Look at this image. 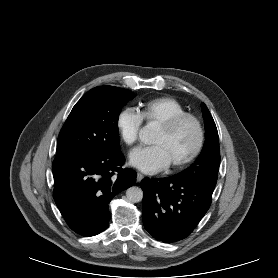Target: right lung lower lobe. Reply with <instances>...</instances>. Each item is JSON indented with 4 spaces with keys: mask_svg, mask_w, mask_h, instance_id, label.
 <instances>
[{
    "mask_svg": "<svg viewBox=\"0 0 278 278\" xmlns=\"http://www.w3.org/2000/svg\"><path fill=\"white\" fill-rule=\"evenodd\" d=\"M123 163L120 150L53 161V197L73 231L89 237L108 227V204L136 179L135 171L121 168Z\"/></svg>",
    "mask_w": 278,
    "mask_h": 278,
    "instance_id": "98d812e1",
    "label": "right lung lower lobe"
}]
</instances>
